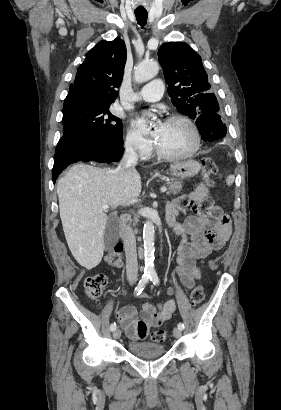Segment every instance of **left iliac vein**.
Returning <instances> with one entry per match:
<instances>
[{
    "label": "left iliac vein",
    "instance_id": "1",
    "mask_svg": "<svg viewBox=\"0 0 281 410\" xmlns=\"http://www.w3.org/2000/svg\"><path fill=\"white\" fill-rule=\"evenodd\" d=\"M173 335L175 338H180L182 335V330L179 328H174L173 330Z\"/></svg>",
    "mask_w": 281,
    "mask_h": 410
}]
</instances>
